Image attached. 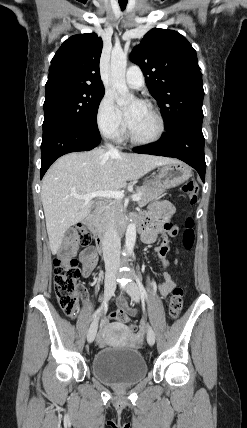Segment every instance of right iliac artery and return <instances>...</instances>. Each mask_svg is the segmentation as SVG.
<instances>
[{
	"instance_id": "1",
	"label": "right iliac artery",
	"mask_w": 247,
	"mask_h": 428,
	"mask_svg": "<svg viewBox=\"0 0 247 428\" xmlns=\"http://www.w3.org/2000/svg\"><path fill=\"white\" fill-rule=\"evenodd\" d=\"M104 305H106V302H104ZM101 308L102 307H100L99 309H97V311L94 313V315H93V319L97 316V314L100 312V310H101Z\"/></svg>"
}]
</instances>
